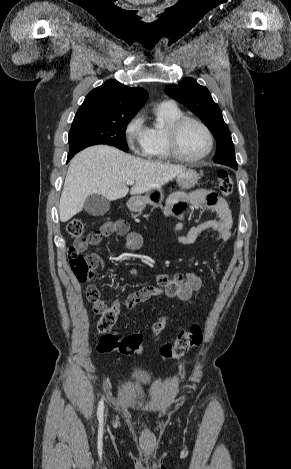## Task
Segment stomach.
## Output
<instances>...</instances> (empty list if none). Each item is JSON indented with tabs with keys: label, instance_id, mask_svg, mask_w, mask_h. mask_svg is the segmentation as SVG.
I'll return each instance as SVG.
<instances>
[{
	"label": "stomach",
	"instance_id": "stomach-1",
	"mask_svg": "<svg viewBox=\"0 0 291 469\" xmlns=\"http://www.w3.org/2000/svg\"><path fill=\"white\" fill-rule=\"evenodd\" d=\"M199 180V175L192 169L185 170L177 175L176 182L182 189L192 188ZM164 199L161 187L152 188L144 196L138 195L130 198L128 207L133 212H141L147 204L159 206Z\"/></svg>",
	"mask_w": 291,
	"mask_h": 469
}]
</instances>
